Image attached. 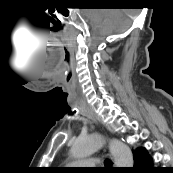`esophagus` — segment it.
<instances>
[{
  "label": "esophagus",
  "instance_id": "1",
  "mask_svg": "<svg viewBox=\"0 0 173 173\" xmlns=\"http://www.w3.org/2000/svg\"><path fill=\"white\" fill-rule=\"evenodd\" d=\"M85 114L88 116V117H90V118H92L93 120H95L94 119V117H93V115L89 112V110H85Z\"/></svg>",
  "mask_w": 173,
  "mask_h": 173
}]
</instances>
